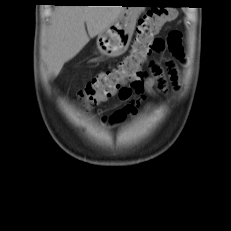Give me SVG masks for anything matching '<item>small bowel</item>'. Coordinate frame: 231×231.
Returning a JSON list of instances; mask_svg holds the SVG:
<instances>
[{
    "label": "small bowel",
    "instance_id": "obj_1",
    "mask_svg": "<svg viewBox=\"0 0 231 231\" xmlns=\"http://www.w3.org/2000/svg\"><path fill=\"white\" fill-rule=\"evenodd\" d=\"M165 44L176 60H183L184 53L179 32H171L166 38ZM149 72L150 76L148 78L128 83L119 90L117 95L123 106L110 117V122H120L128 116L136 114L146 94H154L155 90L165 91L168 82L174 87H177L179 83V69L174 60L167 61L165 68L152 61L149 66Z\"/></svg>",
    "mask_w": 231,
    "mask_h": 231
}]
</instances>
